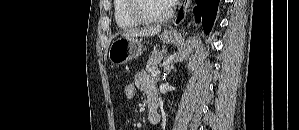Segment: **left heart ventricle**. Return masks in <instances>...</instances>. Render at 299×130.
<instances>
[{"instance_id": "obj_1", "label": "left heart ventricle", "mask_w": 299, "mask_h": 130, "mask_svg": "<svg viewBox=\"0 0 299 130\" xmlns=\"http://www.w3.org/2000/svg\"><path fill=\"white\" fill-rule=\"evenodd\" d=\"M143 7L144 11L152 16H162L168 12L169 4L164 0H147Z\"/></svg>"}]
</instances>
